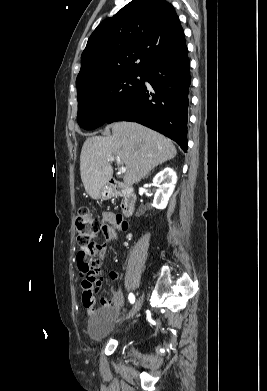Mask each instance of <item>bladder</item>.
I'll use <instances>...</instances> for the list:
<instances>
[{
    "label": "bladder",
    "instance_id": "bladder-1",
    "mask_svg": "<svg viewBox=\"0 0 267 391\" xmlns=\"http://www.w3.org/2000/svg\"><path fill=\"white\" fill-rule=\"evenodd\" d=\"M120 310L117 307H103L93 314L89 326L88 336L93 341H101L112 335L128 336L133 330V324L126 320L117 322Z\"/></svg>",
    "mask_w": 267,
    "mask_h": 391
}]
</instances>
